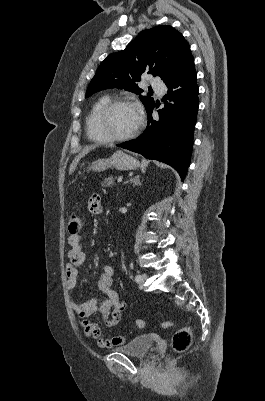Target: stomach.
Listing matches in <instances>:
<instances>
[{"mask_svg": "<svg viewBox=\"0 0 265 401\" xmlns=\"http://www.w3.org/2000/svg\"><path fill=\"white\" fill-rule=\"evenodd\" d=\"M139 166L137 158L125 154L123 150H116L109 158H98L93 160L88 166V170H94V172H101V170H107V168H117V170H135Z\"/></svg>", "mask_w": 265, "mask_h": 401, "instance_id": "obj_1", "label": "stomach"}]
</instances>
